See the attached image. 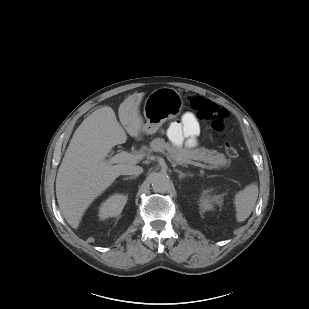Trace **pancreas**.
Listing matches in <instances>:
<instances>
[{
	"mask_svg": "<svg viewBox=\"0 0 309 309\" xmlns=\"http://www.w3.org/2000/svg\"><path fill=\"white\" fill-rule=\"evenodd\" d=\"M151 151L162 152L168 159L178 164H187L191 159L203 161L213 165L214 168L228 167L230 162L222 153H216L205 148L187 149L174 147L171 143L165 142L162 138H156L150 143Z\"/></svg>",
	"mask_w": 309,
	"mask_h": 309,
	"instance_id": "cf45deb5",
	"label": "pancreas"
}]
</instances>
